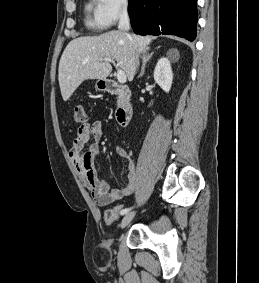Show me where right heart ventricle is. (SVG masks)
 Returning a JSON list of instances; mask_svg holds the SVG:
<instances>
[{
    "instance_id": "obj_1",
    "label": "right heart ventricle",
    "mask_w": 259,
    "mask_h": 283,
    "mask_svg": "<svg viewBox=\"0 0 259 283\" xmlns=\"http://www.w3.org/2000/svg\"><path fill=\"white\" fill-rule=\"evenodd\" d=\"M87 12H88V23L91 27L94 29H101L103 28L101 22L99 21L97 15H96V10L93 11L94 15L91 16L92 8L90 5L87 7Z\"/></svg>"
}]
</instances>
